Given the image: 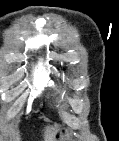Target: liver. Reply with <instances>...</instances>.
<instances>
[{
	"instance_id": "obj_1",
	"label": "liver",
	"mask_w": 119,
	"mask_h": 141,
	"mask_svg": "<svg viewBox=\"0 0 119 141\" xmlns=\"http://www.w3.org/2000/svg\"><path fill=\"white\" fill-rule=\"evenodd\" d=\"M54 133H55L54 127H50V126L47 127L45 141H51Z\"/></svg>"
}]
</instances>
